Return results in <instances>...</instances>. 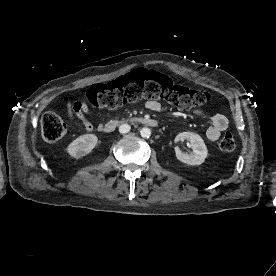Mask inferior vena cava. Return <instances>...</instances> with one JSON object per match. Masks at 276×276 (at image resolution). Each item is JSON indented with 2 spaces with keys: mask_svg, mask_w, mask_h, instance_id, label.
I'll list each match as a JSON object with an SVG mask.
<instances>
[{
  "mask_svg": "<svg viewBox=\"0 0 276 276\" xmlns=\"http://www.w3.org/2000/svg\"><path fill=\"white\" fill-rule=\"evenodd\" d=\"M130 129H131V127H130V125H128V124H122L120 127H119V132L120 133H127V132H129L130 131Z\"/></svg>",
  "mask_w": 276,
  "mask_h": 276,
  "instance_id": "inferior-vena-cava-1",
  "label": "inferior vena cava"
}]
</instances>
